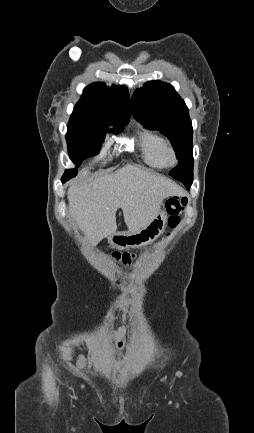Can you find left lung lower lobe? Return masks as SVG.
<instances>
[{"mask_svg": "<svg viewBox=\"0 0 254 433\" xmlns=\"http://www.w3.org/2000/svg\"><path fill=\"white\" fill-rule=\"evenodd\" d=\"M191 185H186V188L189 190Z\"/></svg>", "mask_w": 254, "mask_h": 433, "instance_id": "0a47b994", "label": "left lung lower lobe"}]
</instances>
